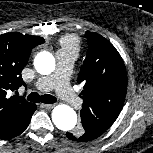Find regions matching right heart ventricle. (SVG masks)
Returning a JSON list of instances; mask_svg holds the SVG:
<instances>
[{
    "mask_svg": "<svg viewBox=\"0 0 153 153\" xmlns=\"http://www.w3.org/2000/svg\"><path fill=\"white\" fill-rule=\"evenodd\" d=\"M61 46L62 50L76 53L79 48V41L75 36L68 35L61 39Z\"/></svg>",
    "mask_w": 153,
    "mask_h": 153,
    "instance_id": "1",
    "label": "right heart ventricle"
}]
</instances>
